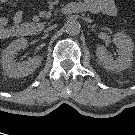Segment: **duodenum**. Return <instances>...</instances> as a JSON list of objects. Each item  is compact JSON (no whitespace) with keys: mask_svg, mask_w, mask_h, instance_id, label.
Masks as SVG:
<instances>
[{"mask_svg":"<svg viewBox=\"0 0 135 135\" xmlns=\"http://www.w3.org/2000/svg\"><path fill=\"white\" fill-rule=\"evenodd\" d=\"M21 32L27 34V33H29V29L28 28H22L21 29Z\"/></svg>","mask_w":135,"mask_h":135,"instance_id":"410a0bca","label":"duodenum"}]
</instances>
